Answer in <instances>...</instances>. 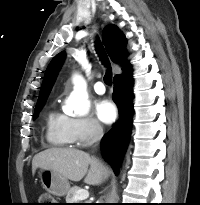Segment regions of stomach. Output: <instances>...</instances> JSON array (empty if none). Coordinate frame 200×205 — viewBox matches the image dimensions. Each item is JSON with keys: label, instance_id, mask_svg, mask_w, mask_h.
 I'll use <instances>...</instances> for the list:
<instances>
[{"label": "stomach", "instance_id": "1", "mask_svg": "<svg viewBox=\"0 0 200 205\" xmlns=\"http://www.w3.org/2000/svg\"><path fill=\"white\" fill-rule=\"evenodd\" d=\"M39 178L43 188L55 196H65L70 189L68 179L55 171L41 168Z\"/></svg>", "mask_w": 200, "mask_h": 205}]
</instances>
